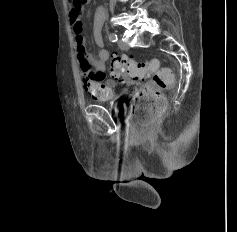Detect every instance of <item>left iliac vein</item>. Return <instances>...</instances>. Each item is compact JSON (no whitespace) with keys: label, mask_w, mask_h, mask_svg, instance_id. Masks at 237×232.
Listing matches in <instances>:
<instances>
[{"label":"left iliac vein","mask_w":237,"mask_h":232,"mask_svg":"<svg viewBox=\"0 0 237 232\" xmlns=\"http://www.w3.org/2000/svg\"><path fill=\"white\" fill-rule=\"evenodd\" d=\"M118 46L122 50H128L129 49V46L125 42H123L122 40L118 41Z\"/></svg>","instance_id":"left-iliac-vein-1"}]
</instances>
